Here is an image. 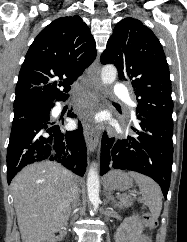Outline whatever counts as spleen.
<instances>
[{
    "instance_id": "obj_1",
    "label": "spleen",
    "mask_w": 187,
    "mask_h": 242,
    "mask_svg": "<svg viewBox=\"0 0 187 242\" xmlns=\"http://www.w3.org/2000/svg\"><path fill=\"white\" fill-rule=\"evenodd\" d=\"M129 175L139 186L140 193L142 194L139 201L148 206L154 219H158L162 209V192L160 187L148 176L137 172H130Z\"/></svg>"
}]
</instances>
